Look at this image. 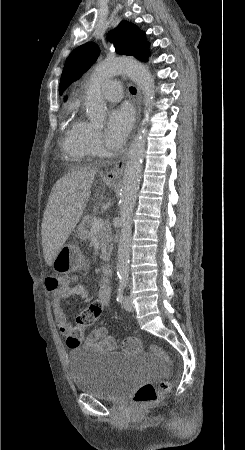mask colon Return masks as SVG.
<instances>
[{"label": "colon", "instance_id": "1", "mask_svg": "<svg viewBox=\"0 0 245 450\" xmlns=\"http://www.w3.org/2000/svg\"><path fill=\"white\" fill-rule=\"evenodd\" d=\"M71 279L50 276L45 280V288L48 293H54L60 291L65 285L69 284ZM101 303L94 302L81 311L77 317L75 326L70 333L68 342L71 345H80L85 339V331L90 328L101 314ZM123 348L129 352H135L139 349V343L134 338H129L123 343ZM152 352L162 361L168 362V355L159 347L152 346ZM171 387L170 381H161L158 386L152 383H145L141 385L135 392L132 402L135 405H152L155 404L161 396L168 392Z\"/></svg>", "mask_w": 245, "mask_h": 450}]
</instances>
